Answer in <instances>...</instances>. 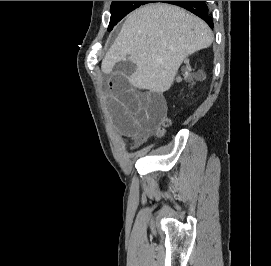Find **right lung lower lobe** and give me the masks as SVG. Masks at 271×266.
Wrapping results in <instances>:
<instances>
[{"instance_id": "1", "label": "right lung lower lobe", "mask_w": 271, "mask_h": 266, "mask_svg": "<svg viewBox=\"0 0 271 266\" xmlns=\"http://www.w3.org/2000/svg\"><path fill=\"white\" fill-rule=\"evenodd\" d=\"M156 2H164L181 6L191 11L195 15L199 16L201 19H203L210 26V28H213L214 26L212 17L209 13L207 5L205 4V1H156Z\"/></svg>"}]
</instances>
